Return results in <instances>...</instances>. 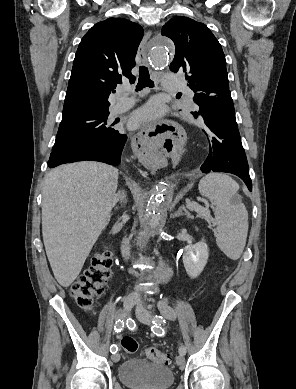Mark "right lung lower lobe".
I'll return each mask as SVG.
<instances>
[{"instance_id": "right-lung-lower-lobe-1", "label": "right lung lower lobe", "mask_w": 296, "mask_h": 389, "mask_svg": "<svg viewBox=\"0 0 296 389\" xmlns=\"http://www.w3.org/2000/svg\"><path fill=\"white\" fill-rule=\"evenodd\" d=\"M126 140L127 135L118 132L115 136L102 137L77 146L52 151L48 161V167L53 168L60 164L85 160L118 165Z\"/></svg>"}]
</instances>
